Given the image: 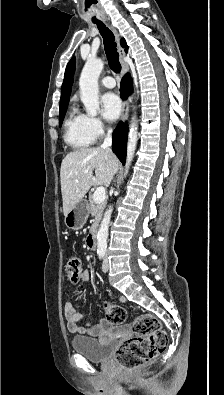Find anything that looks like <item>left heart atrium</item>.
<instances>
[{
    "label": "left heart atrium",
    "mask_w": 224,
    "mask_h": 395,
    "mask_svg": "<svg viewBox=\"0 0 224 395\" xmlns=\"http://www.w3.org/2000/svg\"><path fill=\"white\" fill-rule=\"evenodd\" d=\"M103 115L107 120H116L122 110V103L120 98L114 93H106L102 99Z\"/></svg>",
    "instance_id": "39dd6f15"
}]
</instances>
